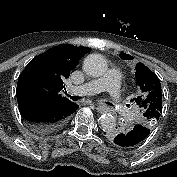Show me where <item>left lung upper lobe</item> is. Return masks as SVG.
Segmentation results:
<instances>
[{
    "mask_svg": "<svg viewBox=\"0 0 177 177\" xmlns=\"http://www.w3.org/2000/svg\"><path fill=\"white\" fill-rule=\"evenodd\" d=\"M135 69L136 84L140 88V96L131 101H134L142 112L140 124L151 129L162 114L161 83L157 75L143 63H138Z\"/></svg>",
    "mask_w": 177,
    "mask_h": 177,
    "instance_id": "1",
    "label": "left lung upper lobe"
}]
</instances>
